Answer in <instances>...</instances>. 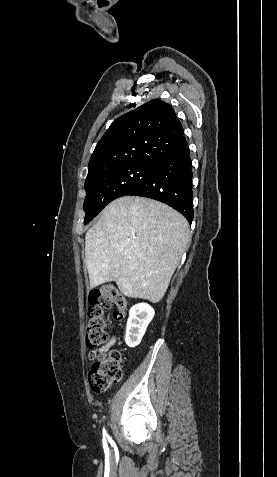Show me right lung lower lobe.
I'll list each match as a JSON object with an SVG mask.
<instances>
[{"instance_id": "right-lung-lower-lobe-1", "label": "right lung lower lobe", "mask_w": 277, "mask_h": 477, "mask_svg": "<svg viewBox=\"0 0 277 477\" xmlns=\"http://www.w3.org/2000/svg\"><path fill=\"white\" fill-rule=\"evenodd\" d=\"M190 150L186 145L158 162L151 174L126 195L148 197L180 212L191 224L193 220L192 171Z\"/></svg>"}]
</instances>
